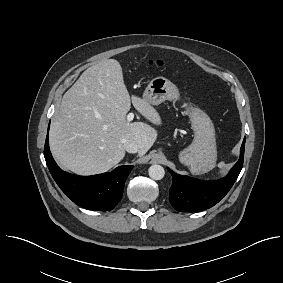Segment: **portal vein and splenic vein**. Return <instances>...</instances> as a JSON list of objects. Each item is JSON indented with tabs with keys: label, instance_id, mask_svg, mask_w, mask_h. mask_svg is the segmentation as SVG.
Wrapping results in <instances>:
<instances>
[{
	"label": "portal vein and splenic vein",
	"instance_id": "1",
	"mask_svg": "<svg viewBox=\"0 0 283 283\" xmlns=\"http://www.w3.org/2000/svg\"><path fill=\"white\" fill-rule=\"evenodd\" d=\"M133 118H134V114L131 112V113H129L128 115H127V122H131L132 120H133Z\"/></svg>",
	"mask_w": 283,
	"mask_h": 283
}]
</instances>
